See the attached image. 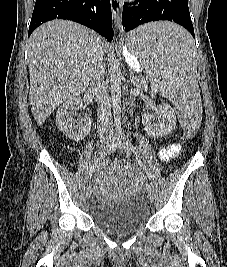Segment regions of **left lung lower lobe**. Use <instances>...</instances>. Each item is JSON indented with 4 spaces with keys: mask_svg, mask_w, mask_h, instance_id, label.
Listing matches in <instances>:
<instances>
[{
    "mask_svg": "<svg viewBox=\"0 0 227 267\" xmlns=\"http://www.w3.org/2000/svg\"><path fill=\"white\" fill-rule=\"evenodd\" d=\"M122 18L126 32L151 21L169 20L182 25L194 37L188 0H140L138 6L125 5ZM154 42L167 48H177L184 44L180 38L172 37L158 38Z\"/></svg>",
    "mask_w": 227,
    "mask_h": 267,
    "instance_id": "1",
    "label": "left lung lower lobe"
}]
</instances>
